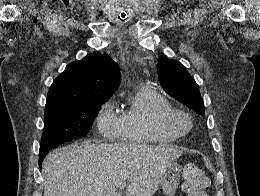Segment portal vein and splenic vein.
I'll return each instance as SVG.
<instances>
[{
	"label": "portal vein and splenic vein",
	"mask_w": 260,
	"mask_h": 196,
	"mask_svg": "<svg viewBox=\"0 0 260 196\" xmlns=\"http://www.w3.org/2000/svg\"><path fill=\"white\" fill-rule=\"evenodd\" d=\"M126 186V182H123V184H120V186H117V188H119V190H125Z\"/></svg>",
	"instance_id": "portal-vein-and-splenic-vein-1"
}]
</instances>
